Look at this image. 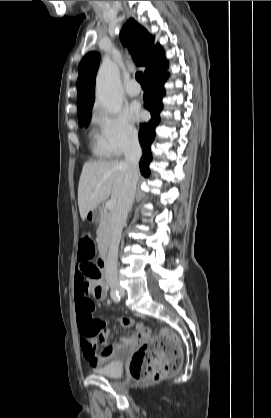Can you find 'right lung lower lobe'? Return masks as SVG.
Returning <instances> with one entry per match:
<instances>
[{
    "instance_id": "1",
    "label": "right lung lower lobe",
    "mask_w": 271,
    "mask_h": 418,
    "mask_svg": "<svg viewBox=\"0 0 271 418\" xmlns=\"http://www.w3.org/2000/svg\"><path fill=\"white\" fill-rule=\"evenodd\" d=\"M168 67L164 65L145 76L146 92L144 95V106L151 113V120L148 123L140 125L139 140L143 150V156L140 160L141 173L147 177L150 174L149 163L152 159L150 145L155 138V128L160 122V111L163 108L162 97L164 96V82L168 77L165 72Z\"/></svg>"
}]
</instances>
